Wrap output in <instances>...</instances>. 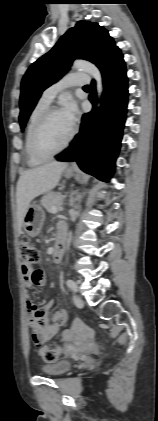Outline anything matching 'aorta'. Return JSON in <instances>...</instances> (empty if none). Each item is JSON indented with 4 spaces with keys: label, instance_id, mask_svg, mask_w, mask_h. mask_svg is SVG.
I'll return each mask as SVG.
<instances>
[{
    "label": "aorta",
    "instance_id": "obj_1",
    "mask_svg": "<svg viewBox=\"0 0 158 421\" xmlns=\"http://www.w3.org/2000/svg\"><path fill=\"white\" fill-rule=\"evenodd\" d=\"M73 68L88 73L96 81V90L98 96V104L100 106V99L103 92V83L102 75L100 70L91 62L85 60H75L73 63Z\"/></svg>",
    "mask_w": 158,
    "mask_h": 421
}]
</instances>
